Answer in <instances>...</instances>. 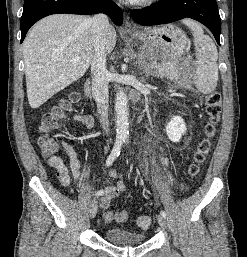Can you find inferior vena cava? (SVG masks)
I'll return each instance as SVG.
<instances>
[{
  "label": "inferior vena cava",
  "instance_id": "obj_1",
  "mask_svg": "<svg viewBox=\"0 0 247 257\" xmlns=\"http://www.w3.org/2000/svg\"><path fill=\"white\" fill-rule=\"evenodd\" d=\"M94 42V56L91 62L92 94L97 103L100 123L106 133L109 131L108 108V82L109 73L106 69L105 44L109 28L108 17L96 14L91 18Z\"/></svg>",
  "mask_w": 247,
  "mask_h": 257
}]
</instances>
